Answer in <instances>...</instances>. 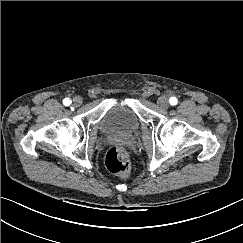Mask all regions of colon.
I'll return each instance as SVG.
<instances>
[{"label":"colon","mask_w":243,"mask_h":243,"mask_svg":"<svg viewBox=\"0 0 243 243\" xmlns=\"http://www.w3.org/2000/svg\"><path fill=\"white\" fill-rule=\"evenodd\" d=\"M107 169L122 177H127L130 172V161L127 153L119 146L111 147L105 157Z\"/></svg>","instance_id":"1"}]
</instances>
